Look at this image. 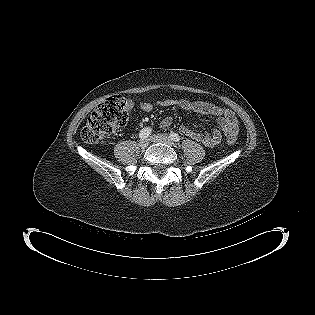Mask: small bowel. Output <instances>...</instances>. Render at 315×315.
Listing matches in <instances>:
<instances>
[{"instance_id":"small-bowel-1","label":"small bowel","mask_w":315,"mask_h":315,"mask_svg":"<svg viewBox=\"0 0 315 315\" xmlns=\"http://www.w3.org/2000/svg\"><path fill=\"white\" fill-rule=\"evenodd\" d=\"M155 106L159 107H178L184 111L195 112L204 116H214L217 119L219 128L212 130L211 132L199 133L192 128L187 126H182L180 132L191 138L202 142L205 146L212 147L218 144L222 138V133L227 138L236 139L238 134V120L235 114L225 108L217 106L210 102L205 101H192L189 99H165L156 102L155 104L143 101L140 104V108L143 112H151ZM126 107L131 111L134 107V102L132 100L126 101ZM173 123L171 117H165L160 125L161 127H168Z\"/></svg>"}]
</instances>
